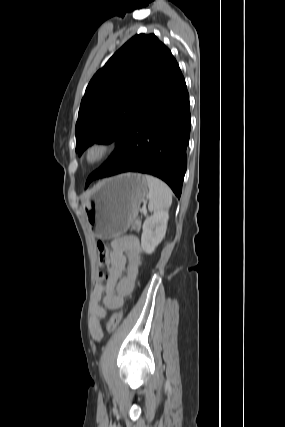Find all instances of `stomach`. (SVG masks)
<instances>
[{
	"label": "stomach",
	"mask_w": 285,
	"mask_h": 427,
	"mask_svg": "<svg viewBox=\"0 0 285 427\" xmlns=\"http://www.w3.org/2000/svg\"><path fill=\"white\" fill-rule=\"evenodd\" d=\"M148 191L145 177L126 173L97 184L82 209L96 237L111 239L127 231Z\"/></svg>",
	"instance_id": "0dacf381"
}]
</instances>
